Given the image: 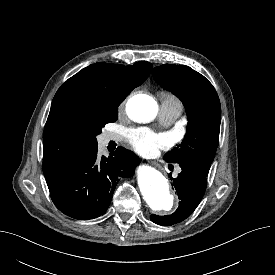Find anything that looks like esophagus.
I'll use <instances>...</instances> for the list:
<instances>
[{"instance_id":"34e87169","label":"esophagus","mask_w":275,"mask_h":275,"mask_svg":"<svg viewBox=\"0 0 275 275\" xmlns=\"http://www.w3.org/2000/svg\"><path fill=\"white\" fill-rule=\"evenodd\" d=\"M153 165H156V162H151Z\"/></svg>"}]
</instances>
